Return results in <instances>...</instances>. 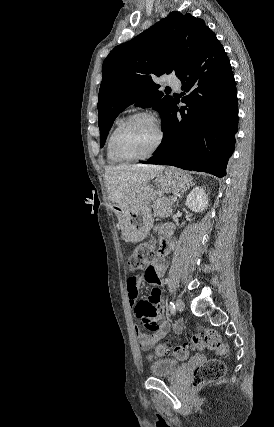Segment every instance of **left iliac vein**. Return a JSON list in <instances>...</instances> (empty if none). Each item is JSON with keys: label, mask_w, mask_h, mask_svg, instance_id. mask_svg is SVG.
I'll list each match as a JSON object with an SVG mask.
<instances>
[{"label": "left iliac vein", "mask_w": 274, "mask_h": 427, "mask_svg": "<svg viewBox=\"0 0 274 427\" xmlns=\"http://www.w3.org/2000/svg\"><path fill=\"white\" fill-rule=\"evenodd\" d=\"M184 308H185V304H184V302H183L181 299H177V300H176V309H177L178 311H183V310H184Z\"/></svg>", "instance_id": "left-iliac-vein-1"}]
</instances>
